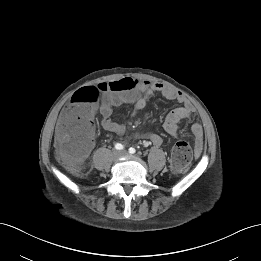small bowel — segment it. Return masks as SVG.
<instances>
[{
  "mask_svg": "<svg viewBox=\"0 0 261 261\" xmlns=\"http://www.w3.org/2000/svg\"><path fill=\"white\" fill-rule=\"evenodd\" d=\"M156 92L161 93L167 99L175 100L181 104L180 107L175 108L174 110H172L167 114L163 124L164 129L170 135L177 136L179 122L181 120L192 117L194 114V109L192 105L189 103V101L180 91L169 86H165L157 83H149V82L138 84V86L131 93L122 92L115 96L111 95L110 98L103 101L100 107V114L102 116V121H101L102 127L106 131L114 134L119 135L124 133L125 126L113 120L114 106L130 104L132 106L131 115L135 116L140 110H142L146 106L147 102ZM72 108L73 105L71 104V102H69L68 104H66V106L62 111L57 127V132H56V141L58 144H60L64 139V135L60 131L61 121L65 116V114L68 111H70ZM95 128H96V124H95L94 116L92 114L88 122V131H89L91 144L87 155L91 152L93 148L92 137L95 133ZM191 133L193 135L194 142H195L196 155L199 156L202 151V143H203L202 126L197 122L193 123L191 126ZM146 138L147 140H149L151 143L155 145H159L162 141L161 137L158 134H149Z\"/></svg>",
  "mask_w": 261,
  "mask_h": 261,
  "instance_id": "small-bowel-1",
  "label": "small bowel"
}]
</instances>
